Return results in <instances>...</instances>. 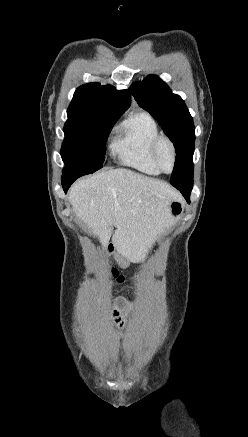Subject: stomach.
I'll return each instance as SVG.
<instances>
[{
	"label": "stomach",
	"instance_id": "1",
	"mask_svg": "<svg viewBox=\"0 0 248 437\" xmlns=\"http://www.w3.org/2000/svg\"><path fill=\"white\" fill-rule=\"evenodd\" d=\"M184 207V203L180 200H172L170 202V213L173 222H177L180 219L183 214ZM119 263L122 267L128 266V260H126L122 255L119 257ZM149 270H153V267H149Z\"/></svg>",
	"mask_w": 248,
	"mask_h": 437
}]
</instances>
